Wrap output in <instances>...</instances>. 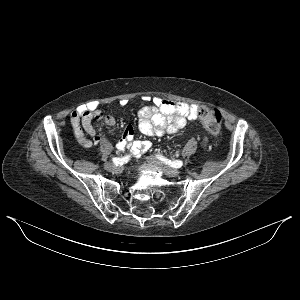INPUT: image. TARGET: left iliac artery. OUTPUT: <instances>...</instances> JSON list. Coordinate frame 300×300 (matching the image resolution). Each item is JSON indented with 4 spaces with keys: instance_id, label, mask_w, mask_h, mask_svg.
I'll return each mask as SVG.
<instances>
[{
    "instance_id": "left-iliac-artery-1",
    "label": "left iliac artery",
    "mask_w": 300,
    "mask_h": 300,
    "mask_svg": "<svg viewBox=\"0 0 300 300\" xmlns=\"http://www.w3.org/2000/svg\"><path fill=\"white\" fill-rule=\"evenodd\" d=\"M156 156L159 160L163 161L165 164H168L173 168H180L183 165V162L180 161V160L171 161V160H169V159H167V158H165L161 155H156Z\"/></svg>"
}]
</instances>
